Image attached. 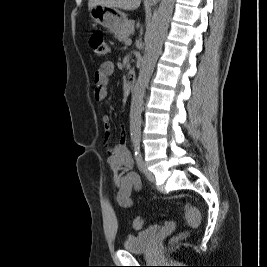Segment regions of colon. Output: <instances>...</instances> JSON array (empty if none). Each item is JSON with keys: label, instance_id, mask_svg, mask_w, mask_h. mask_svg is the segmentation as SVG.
<instances>
[{"label": "colon", "instance_id": "5ec220e1", "mask_svg": "<svg viewBox=\"0 0 267 267\" xmlns=\"http://www.w3.org/2000/svg\"><path fill=\"white\" fill-rule=\"evenodd\" d=\"M89 45L96 55L100 57H106L110 54V47L107 42L104 40L103 36L100 33L93 34L89 39ZM185 217L186 221L191 227H197L200 224V213L192 205L187 204L185 206ZM144 226V219L140 216L134 218L133 227L135 229H141ZM186 236V233H181L173 239L176 241Z\"/></svg>", "mask_w": 267, "mask_h": 267}]
</instances>
